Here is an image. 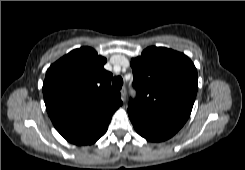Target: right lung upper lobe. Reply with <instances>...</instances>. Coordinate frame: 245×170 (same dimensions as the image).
Wrapping results in <instances>:
<instances>
[{"instance_id": "cb5924a9", "label": "right lung upper lobe", "mask_w": 245, "mask_h": 170, "mask_svg": "<svg viewBox=\"0 0 245 170\" xmlns=\"http://www.w3.org/2000/svg\"><path fill=\"white\" fill-rule=\"evenodd\" d=\"M106 58L81 47L52 64L43 82L46 109L57 131L69 142L88 145L107 131L112 115L122 105L111 87Z\"/></svg>"}]
</instances>
